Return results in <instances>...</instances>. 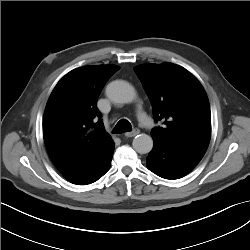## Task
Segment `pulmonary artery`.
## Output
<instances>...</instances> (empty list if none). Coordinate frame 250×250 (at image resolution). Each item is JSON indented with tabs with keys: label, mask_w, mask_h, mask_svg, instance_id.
I'll list each match as a JSON object with an SVG mask.
<instances>
[{
	"label": "pulmonary artery",
	"mask_w": 250,
	"mask_h": 250,
	"mask_svg": "<svg viewBox=\"0 0 250 250\" xmlns=\"http://www.w3.org/2000/svg\"><path fill=\"white\" fill-rule=\"evenodd\" d=\"M138 117L142 124L145 126H149L151 124L150 118L146 115V113L143 110L138 111Z\"/></svg>",
	"instance_id": "e3ab8cb5"
}]
</instances>
